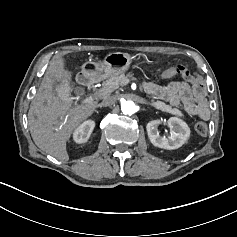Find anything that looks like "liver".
Returning a JSON list of instances; mask_svg holds the SVG:
<instances>
[{"label": "liver", "mask_w": 237, "mask_h": 237, "mask_svg": "<svg viewBox=\"0 0 237 237\" xmlns=\"http://www.w3.org/2000/svg\"><path fill=\"white\" fill-rule=\"evenodd\" d=\"M50 75L45 76L43 81L48 85L44 93L31 101L28 112V125L30 134L36 146L46 154L56 159L67 162V142L70 140L75 129L87 120L96 109L97 103L81 105L71 108V104L62 103L59 97L52 95V79L60 82L58 73L67 68L66 59L54 57L51 60ZM72 75H73V71Z\"/></svg>", "instance_id": "obj_1"}]
</instances>
